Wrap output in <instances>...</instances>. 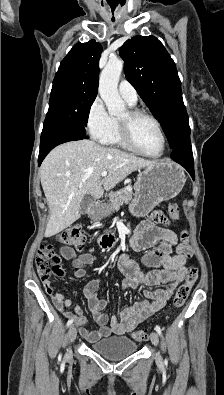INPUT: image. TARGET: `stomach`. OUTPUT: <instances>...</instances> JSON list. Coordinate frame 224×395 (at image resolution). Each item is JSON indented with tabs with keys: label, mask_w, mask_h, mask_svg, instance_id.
<instances>
[{
	"label": "stomach",
	"mask_w": 224,
	"mask_h": 395,
	"mask_svg": "<svg viewBox=\"0 0 224 395\" xmlns=\"http://www.w3.org/2000/svg\"><path fill=\"white\" fill-rule=\"evenodd\" d=\"M185 184L182 168L169 160H161L139 173L130 211L137 217L149 214L162 201L177 196ZM108 212L99 208L93 219L99 220Z\"/></svg>",
	"instance_id": "obj_1"
}]
</instances>
